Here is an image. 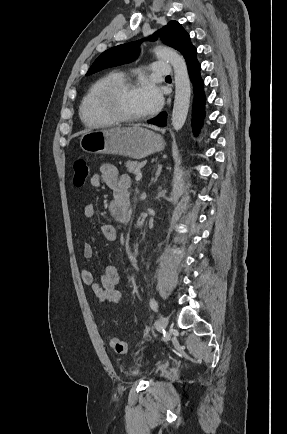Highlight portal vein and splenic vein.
I'll list each match as a JSON object with an SVG mask.
<instances>
[{
  "label": "portal vein and splenic vein",
  "instance_id": "obj_1",
  "mask_svg": "<svg viewBox=\"0 0 287 434\" xmlns=\"http://www.w3.org/2000/svg\"><path fill=\"white\" fill-rule=\"evenodd\" d=\"M141 178H142V172H140V170H139V171L136 172L135 180H136V181H140Z\"/></svg>",
  "mask_w": 287,
  "mask_h": 434
}]
</instances>
